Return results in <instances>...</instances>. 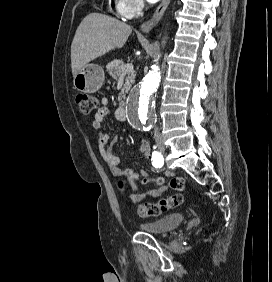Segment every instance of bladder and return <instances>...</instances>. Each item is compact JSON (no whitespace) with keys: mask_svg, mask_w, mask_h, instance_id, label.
<instances>
[{"mask_svg":"<svg viewBox=\"0 0 272 282\" xmlns=\"http://www.w3.org/2000/svg\"><path fill=\"white\" fill-rule=\"evenodd\" d=\"M183 220L184 215L182 213H174L155 221L141 222L138 225L143 231L150 233H160L177 227Z\"/></svg>","mask_w":272,"mask_h":282,"instance_id":"bladder-1","label":"bladder"}]
</instances>
